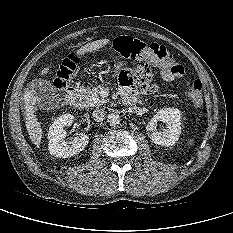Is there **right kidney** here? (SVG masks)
<instances>
[{"label": "right kidney", "mask_w": 233, "mask_h": 233, "mask_svg": "<svg viewBox=\"0 0 233 233\" xmlns=\"http://www.w3.org/2000/svg\"><path fill=\"white\" fill-rule=\"evenodd\" d=\"M74 122V116L64 114L54 120L48 133V150L51 155L59 158H68L81 152L88 144L89 137L86 134H80L71 142H66L65 126H70Z\"/></svg>", "instance_id": "right-kidney-1"}]
</instances>
